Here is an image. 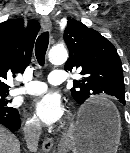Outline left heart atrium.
I'll return each instance as SVG.
<instances>
[{"label": "left heart atrium", "instance_id": "39dd6f15", "mask_svg": "<svg viewBox=\"0 0 130 153\" xmlns=\"http://www.w3.org/2000/svg\"><path fill=\"white\" fill-rule=\"evenodd\" d=\"M33 108L38 119L47 125L59 122L64 115L61 98L53 92H48L35 99Z\"/></svg>", "mask_w": 130, "mask_h": 153}]
</instances>
